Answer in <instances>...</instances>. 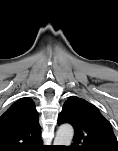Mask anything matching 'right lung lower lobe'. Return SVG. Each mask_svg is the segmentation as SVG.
Segmentation results:
<instances>
[{"instance_id":"1","label":"right lung lower lobe","mask_w":118,"mask_h":151,"mask_svg":"<svg viewBox=\"0 0 118 151\" xmlns=\"http://www.w3.org/2000/svg\"><path fill=\"white\" fill-rule=\"evenodd\" d=\"M40 144H41V143H40ZM40 147H41V145L38 146V148H40ZM38 148H37V149H38Z\"/></svg>"}]
</instances>
